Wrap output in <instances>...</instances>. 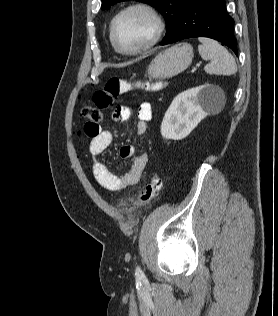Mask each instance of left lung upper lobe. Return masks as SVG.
I'll use <instances>...</instances> for the list:
<instances>
[{"label":"left lung upper lobe","mask_w":278,"mask_h":316,"mask_svg":"<svg viewBox=\"0 0 278 316\" xmlns=\"http://www.w3.org/2000/svg\"><path fill=\"white\" fill-rule=\"evenodd\" d=\"M124 0H102L101 9H108L110 5ZM150 4L156 8L164 16L167 24V38L174 30L179 15L183 9V6L187 0H139ZM164 38V39H165Z\"/></svg>","instance_id":"obj_1"}]
</instances>
